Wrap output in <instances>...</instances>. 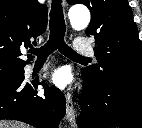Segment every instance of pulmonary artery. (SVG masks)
<instances>
[{
    "mask_svg": "<svg viewBox=\"0 0 142 128\" xmlns=\"http://www.w3.org/2000/svg\"><path fill=\"white\" fill-rule=\"evenodd\" d=\"M74 50L76 53L80 55H93V48L91 44L83 38H78L75 40L74 43ZM31 66L28 65L27 68L29 69Z\"/></svg>",
    "mask_w": 142,
    "mask_h": 128,
    "instance_id": "e3ab8cb5",
    "label": "pulmonary artery"
}]
</instances>
